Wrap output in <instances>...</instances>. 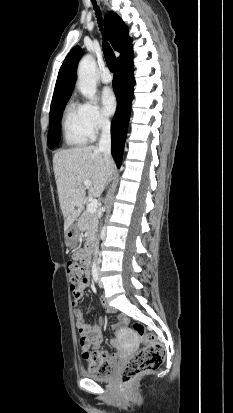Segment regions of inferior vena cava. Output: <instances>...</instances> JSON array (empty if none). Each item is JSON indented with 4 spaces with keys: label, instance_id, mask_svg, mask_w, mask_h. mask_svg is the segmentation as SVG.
Listing matches in <instances>:
<instances>
[{
    "label": "inferior vena cava",
    "instance_id": "inferior-vena-cava-1",
    "mask_svg": "<svg viewBox=\"0 0 233 413\" xmlns=\"http://www.w3.org/2000/svg\"><path fill=\"white\" fill-rule=\"evenodd\" d=\"M99 150L103 152L105 159L108 163L112 161L111 157V132L110 121L108 118L102 119V133L99 140ZM111 174V172H110ZM99 263V260H98Z\"/></svg>",
    "mask_w": 233,
    "mask_h": 413
}]
</instances>
